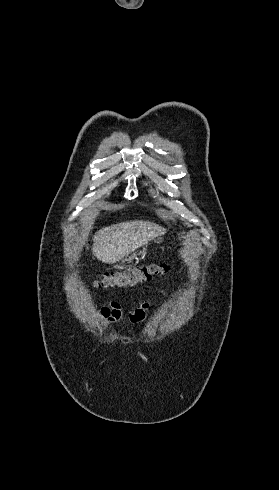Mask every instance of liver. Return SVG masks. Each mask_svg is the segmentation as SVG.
<instances>
[{
    "label": "liver",
    "mask_w": 279,
    "mask_h": 490,
    "mask_svg": "<svg viewBox=\"0 0 279 490\" xmlns=\"http://www.w3.org/2000/svg\"><path fill=\"white\" fill-rule=\"evenodd\" d=\"M164 232L165 228L152 222H122L102 228L93 236V256L103 264H116Z\"/></svg>",
    "instance_id": "6515ba94"
}]
</instances>
